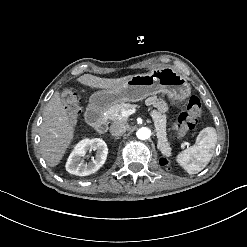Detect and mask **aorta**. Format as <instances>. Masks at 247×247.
<instances>
[{
	"label": "aorta",
	"mask_w": 247,
	"mask_h": 247,
	"mask_svg": "<svg viewBox=\"0 0 247 247\" xmlns=\"http://www.w3.org/2000/svg\"><path fill=\"white\" fill-rule=\"evenodd\" d=\"M136 136L141 140H146L151 136V130L147 127H141L137 130Z\"/></svg>",
	"instance_id": "aorta-1"
}]
</instances>
